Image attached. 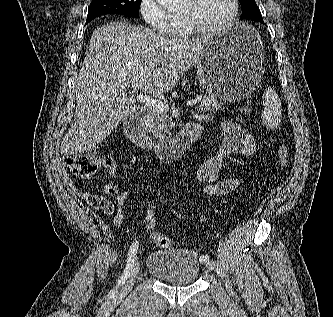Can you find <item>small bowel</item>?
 <instances>
[{
	"label": "small bowel",
	"mask_w": 333,
	"mask_h": 317,
	"mask_svg": "<svg viewBox=\"0 0 333 317\" xmlns=\"http://www.w3.org/2000/svg\"><path fill=\"white\" fill-rule=\"evenodd\" d=\"M224 141L219 153L203 163L196 170V180L202 184V191L209 196H224L232 192L238 186V181L233 178H224L221 175V167L224 158L232 154L245 156L255 153L257 144L255 137L243 126L232 120L222 122ZM107 183L103 193L115 197L111 200L105 196L83 192L75 185L67 181V188L75 196L85 200L90 206L101 210L106 215L113 216L114 225L122 227L124 220V205L131 194V189L120 190L115 181L116 168L113 162L106 166ZM142 208L145 206V196L141 193Z\"/></svg>",
	"instance_id": "obj_1"
}]
</instances>
